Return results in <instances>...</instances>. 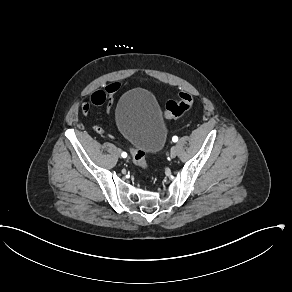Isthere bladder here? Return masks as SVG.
I'll use <instances>...</instances> for the list:
<instances>
[{
  "label": "bladder",
  "mask_w": 292,
  "mask_h": 292,
  "mask_svg": "<svg viewBox=\"0 0 292 292\" xmlns=\"http://www.w3.org/2000/svg\"><path fill=\"white\" fill-rule=\"evenodd\" d=\"M115 123L122 136L144 153H156L164 145L166 124L154 95L143 88L127 91L115 110Z\"/></svg>",
  "instance_id": "1"
}]
</instances>
